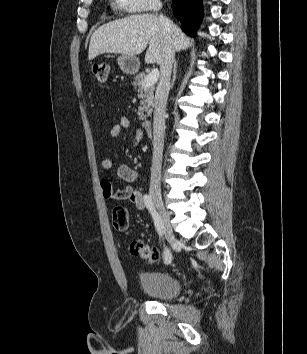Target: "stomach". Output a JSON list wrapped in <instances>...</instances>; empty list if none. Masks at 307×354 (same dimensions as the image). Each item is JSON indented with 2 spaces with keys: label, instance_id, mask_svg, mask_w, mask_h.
<instances>
[{
  "label": "stomach",
  "instance_id": "0dacf381",
  "mask_svg": "<svg viewBox=\"0 0 307 354\" xmlns=\"http://www.w3.org/2000/svg\"><path fill=\"white\" fill-rule=\"evenodd\" d=\"M118 65L123 73L125 74H135L137 73L140 62L135 56L121 55L118 59Z\"/></svg>",
  "mask_w": 307,
  "mask_h": 354
}]
</instances>
